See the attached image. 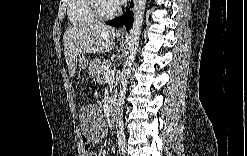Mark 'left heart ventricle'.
Returning a JSON list of instances; mask_svg holds the SVG:
<instances>
[{
	"instance_id": "1",
	"label": "left heart ventricle",
	"mask_w": 247,
	"mask_h": 156,
	"mask_svg": "<svg viewBox=\"0 0 247 156\" xmlns=\"http://www.w3.org/2000/svg\"><path fill=\"white\" fill-rule=\"evenodd\" d=\"M114 6H115V4L112 1H102L101 2V10L104 13H108V12L112 11Z\"/></svg>"
}]
</instances>
